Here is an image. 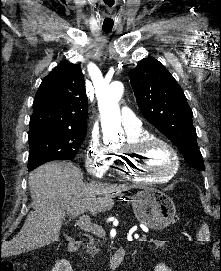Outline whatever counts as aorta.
Masks as SVG:
<instances>
[{
    "label": "aorta",
    "mask_w": 221,
    "mask_h": 271,
    "mask_svg": "<svg viewBox=\"0 0 221 271\" xmlns=\"http://www.w3.org/2000/svg\"><path fill=\"white\" fill-rule=\"evenodd\" d=\"M123 92V84L121 82H113L99 96V111L105 132H122L118 102Z\"/></svg>",
    "instance_id": "obj_1"
}]
</instances>
